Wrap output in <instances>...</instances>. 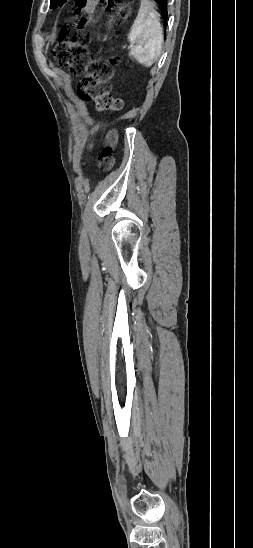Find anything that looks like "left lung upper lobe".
<instances>
[{"instance_id": "obj_1", "label": "left lung upper lobe", "mask_w": 253, "mask_h": 548, "mask_svg": "<svg viewBox=\"0 0 253 548\" xmlns=\"http://www.w3.org/2000/svg\"><path fill=\"white\" fill-rule=\"evenodd\" d=\"M61 0H51L50 7H55ZM58 7V6H57Z\"/></svg>"}]
</instances>
